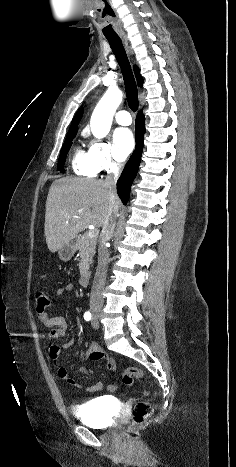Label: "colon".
Wrapping results in <instances>:
<instances>
[{"label": "colon", "mask_w": 236, "mask_h": 467, "mask_svg": "<svg viewBox=\"0 0 236 467\" xmlns=\"http://www.w3.org/2000/svg\"><path fill=\"white\" fill-rule=\"evenodd\" d=\"M36 309L39 313H44L51 306V298L46 291L39 290L35 293ZM103 355L95 353L92 355V359H102ZM144 372L137 367H129L123 373V383L127 386H131L135 379L143 378ZM153 414V407L150 403L139 401L136 402L132 407V423L134 425L143 424Z\"/></svg>", "instance_id": "colon-1"}]
</instances>
